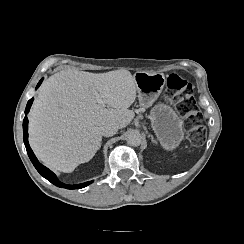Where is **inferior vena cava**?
<instances>
[{"label":"inferior vena cava","instance_id":"obj_1","mask_svg":"<svg viewBox=\"0 0 244 244\" xmlns=\"http://www.w3.org/2000/svg\"><path fill=\"white\" fill-rule=\"evenodd\" d=\"M118 131V125L114 122H110L101 127V133L103 136H112Z\"/></svg>","mask_w":244,"mask_h":244}]
</instances>
